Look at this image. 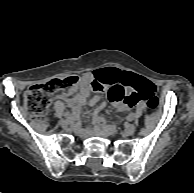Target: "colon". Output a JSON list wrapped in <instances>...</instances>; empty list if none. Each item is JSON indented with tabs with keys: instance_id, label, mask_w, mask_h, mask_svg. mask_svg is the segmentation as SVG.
Wrapping results in <instances>:
<instances>
[{
	"instance_id": "5ec220e1",
	"label": "colon",
	"mask_w": 194,
	"mask_h": 193,
	"mask_svg": "<svg viewBox=\"0 0 194 193\" xmlns=\"http://www.w3.org/2000/svg\"><path fill=\"white\" fill-rule=\"evenodd\" d=\"M138 82L139 78L133 74L123 73L119 79L105 81L102 85L96 86L94 90L102 91L106 88L108 97L113 103H129L130 96L126 94L125 87L134 86ZM77 85L78 78L76 76L34 84L24 94V107L35 119L43 122L53 95L72 93ZM144 98H147V106L150 109H156L159 105V99L152 96L151 92Z\"/></svg>"
}]
</instances>
